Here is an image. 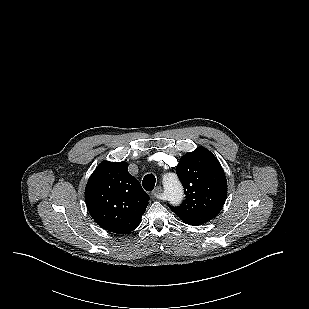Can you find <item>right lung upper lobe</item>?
I'll use <instances>...</instances> for the list:
<instances>
[{"instance_id":"1","label":"right lung upper lobe","mask_w":309,"mask_h":309,"mask_svg":"<svg viewBox=\"0 0 309 309\" xmlns=\"http://www.w3.org/2000/svg\"><path fill=\"white\" fill-rule=\"evenodd\" d=\"M149 199L125 162H102L85 189L86 205L94 221L117 234L138 227Z\"/></svg>"}]
</instances>
